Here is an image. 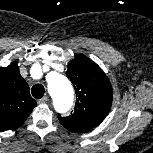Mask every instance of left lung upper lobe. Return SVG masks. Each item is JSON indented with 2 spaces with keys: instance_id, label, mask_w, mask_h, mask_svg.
<instances>
[{
  "instance_id": "5c2ea615",
  "label": "left lung upper lobe",
  "mask_w": 153,
  "mask_h": 153,
  "mask_svg": "<svg viewBox=\"0 0 153 153\" xmlns=\"http://www.w3.org/2000/svg\"><path fill=\"white\" fill-rule=\"evenodd\" d=\"M67 77L77 95L74 112L68 117L58 115L68 130L84 133L98 126L112 104V87L102 69L85 55H77L68 63Z\"/></svg>"
}]
</instances>
